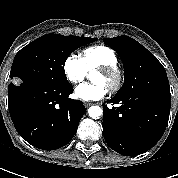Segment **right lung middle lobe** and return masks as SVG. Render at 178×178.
Segmentation results:
<instances>
[{"instance_id": "right-lung-middle-lobe-1", "label": "right lung middle lobe", "mask_w": 178, "mask_h": 178, "mask_svg": "<svg viewBox=\"0 0 178 178\" xmlns=\"http://www.w3.org/2000/svg\"><path fill=\"white\" fill-rule=\"evenodd\" d=\"M96 38L46 34L22 48L15 56L10 78L17 84L68 83L64 64L68 56ZM12 84V83H11Z\"/></svg>"}]
</instances>
